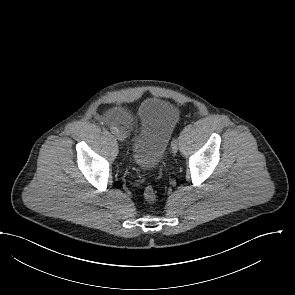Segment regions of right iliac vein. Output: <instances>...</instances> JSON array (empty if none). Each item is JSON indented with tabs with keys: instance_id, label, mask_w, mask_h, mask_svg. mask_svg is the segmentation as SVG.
<instances>
[{
	"instance_id": "63e3f726",
	"label": "right iliac vein",
	"mask_w": 295,
	"mask_h": 295,
	"mask_svg": "<svg viewBox=\"0 0 295 295\" xmlns=\"http://www.w3.org/2000/svg\"><path fill=\"white\" fill-rule=\"evenodd\" d=\"M115 135L116 138L121 142L125 141L126 139V135L122 131L117 132Z\"/></svg>"
}]
</instances>
